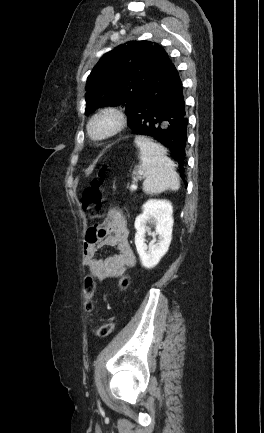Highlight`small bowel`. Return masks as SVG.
Segmentation results:
<instances>
[{"mask_svg":"<svg viewBox=\"0 0 264 433\" xmlns=\"http://www.w3.org/2000/svg\"><path fill=\"white\" fill-rule=\"evenodd\" d=\"M128 236L126 217L119 209L110 208L103 222L93 225L86 232L83 265L99 281L121 276L136 263ZM102 246L115 247L117 252L103 259L97 258V251Z\"/></svg>","mask_w":264,"mask_h":433,"instance_id":"obj_1","label":"small bowel"}]
</instances>
